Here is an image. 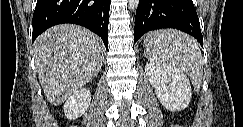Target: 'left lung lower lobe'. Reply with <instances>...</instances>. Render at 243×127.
I'll return each instance as SVG.
<instances>
[{
  "label": "left lung lower lobe",
  "mask_w": 243,
  "mask_h": 127,
  "mask_svg": "<svg viewBox=\"0 0 243 127\" xmlns=\"http://www.w3.org/2000/svg\"><path fill=\"white\" fill-rule=\"evenodd\" d=\"M176 28L203 46L199 18L192 0H140L135 16L134 43L146 32Z\"/></svg>",
  "instance_id": "obj_1"
}]
</instances>
